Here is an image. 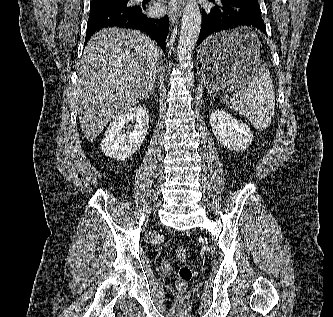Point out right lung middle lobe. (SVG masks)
Returning a JSON list of instances; mask_svg holds the SVG:
<instances>
[{"mask_svg":"<svg viewBox=\"0 0 333 317\" xmlns=\"http://www.w3.org/2000/svg\"><path fill=\"white\" fill-rule=\"evenodd\" d=\"M128 0H92L90 9L105 6H127Z\"/></svg>","mask_w":333,"mask_h":317,"instance_id":"dd1d6c3e","label":"right lung middle lobe"}]
</instances>
